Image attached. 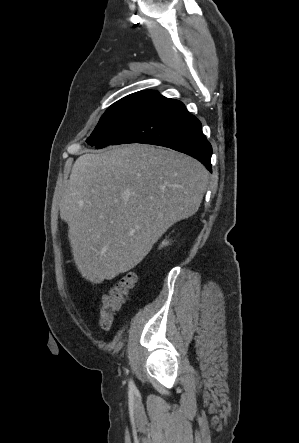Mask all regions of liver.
I'll list each match as a JSON object with an SVG mask.
<instances>
[{
	"label": "liver",
	"mask_w": 299,
	"mask_h": 443,
	"mask_svg": "<svg viewBox=\"0 0 299 443\" xmlns=\"http://www.w3.org/2000/svg\"><path fill=\"white\" fill-rule=\"evenodd\" d=\"M208 181L198 160L152 145L80 156L60 216L81 276L99 284L134 268L169 227L198 211Z\"/></svg>",
	"instance_id": "obj_1"
}]
</instances>
